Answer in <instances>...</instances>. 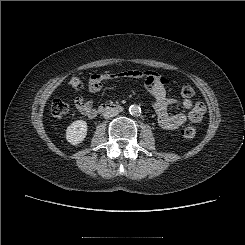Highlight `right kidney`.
I'll list each match as a JSON object with an SVG mask.
<instances>
[{"mask_svg":"<svg viewBox=\"0 0 245 245\" xmlns=\"http://www.w3.org/2000/svg\"><path fill=\"white\" fill-rule=\"evenodd\" d=\"M87 123L84 120L72 122L66 129V140L72 145H78L84 141L87 135Z\"/></svg>","mask_w":245,"mask_h":245,"instance_id":"obj_1","label":"right kidney"}]
</instances>
